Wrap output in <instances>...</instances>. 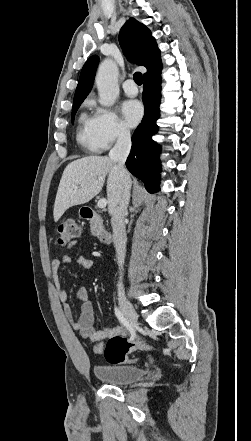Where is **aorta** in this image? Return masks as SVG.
<instances>
[{"mask_svg":"<svg viewBox=\"0 0 251 441\" xmlns=\"http://www.w3.org/2000/svg\"><path fill=\"white\" fill-rule=\"evenodd\" d=\"M96 85L99 93V103L105 107L112 106L118 95V68L112 59H105L99 66Z\"/></svg>","mask_w":251,"mask_h":441,"instance_id":"762f6f07","label":"aorta"}]
</instances>
